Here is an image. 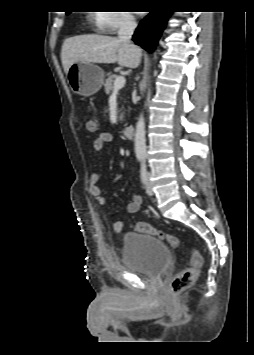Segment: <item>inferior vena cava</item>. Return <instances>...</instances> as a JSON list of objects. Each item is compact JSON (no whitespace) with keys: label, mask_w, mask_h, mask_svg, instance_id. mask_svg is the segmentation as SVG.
Returning a JSON list of instances; mask_svg holds the SVG:
<instances>
[{"label":"inferior vena cava","mask_w":254,"mask_h":355,"mask_svg":"<svg viewBox=\"0 0 254 355\" xmlns=\"http://www.w3.org/2000/svg\"><path fill=\"white\" fill-rule=\"evenodd\" d=\"M135 28L136 22L130 16H123L118 30V39L132 46L131 37Z\"/></svg>","instance_id":"inferior-vena-cava-1"}]
</instances>
